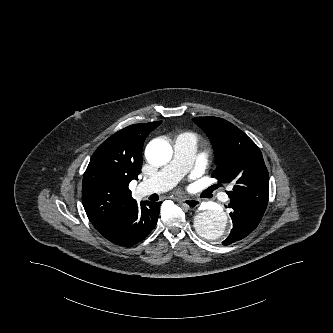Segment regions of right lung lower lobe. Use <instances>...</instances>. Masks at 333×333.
Masks as SVG:
<instances>
[{"label": "right lung lower lobe", "instance_id": "right-lung-lower-lobe-1", "mask_svg": "<svg viewBox=\"0 0 333 333\" xmlns=\"http://www.w3.org/2000/svg\"><path fill=\"white\" fill-rule=\"evenodd\" d=\"M161 202H134L118 212L109 223L98 229L110 242L130 247L142 241L156 226Z\"/></svg>", "mask_w": 333, "mask_h": 333}]
</instances>
